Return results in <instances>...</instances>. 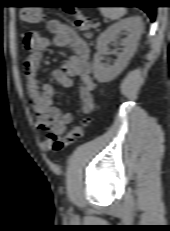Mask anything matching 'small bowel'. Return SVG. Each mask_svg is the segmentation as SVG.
<instances>
[{"label": "small bowel", "mask_w": 170, "mask_h": 231, "mask_svg": "<svg viewBox=\"0 0 170 231\" xmlns=\"http://www.w3.org/2000/svg\"><path fill=\"white\" fill-rule=\"evenodd\" d=\"M48 29L53 33V42L60 47H69L73 54L65 62L63 69L54 70V79L64 87L73 86V78L78 79V94L83 114H89L94 109L92 92L95 84L90 76V48L66 23L51 20ZM51 41L36 33H27L23 45L28 52L24 63V78L30 95L32 110L35 114V124L43 131L61 135L67 125L73 120L71 112H61L53 104V87L48 83H41L38 71L43 57V51Z\"/></svg>", "instance_id": "c3829d8e"}]
</instances>
